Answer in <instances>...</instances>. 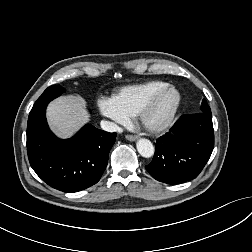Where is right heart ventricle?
<instances>
[{
    "instance_id": "1",
    "label": "right heart ventricle",
    "mask_w": 252,
    "mask_h": 252,
    "mask_svg": "<svg viewBox=\"0 0 252 252\" xmlns=\"http://www.w3.org/2000/svg\"><path fill=\"white\" fill-rule=\"evenodd\" d=\"M164 80H150L121 88L112 97L113 102L128 116H137L140 107L158 89L168 85Z\"/></svg>"
}]
</instances>
